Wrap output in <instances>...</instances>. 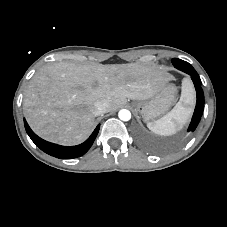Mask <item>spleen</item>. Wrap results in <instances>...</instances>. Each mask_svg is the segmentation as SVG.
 Returning <instances> with one entry per match:
<instances>
[{"label":"spleen","mask_w":227,"mask_h":227,"mask_svg":"<svg viewBox=\"0 0 227 227\" xmlns=\"http://www.w3.org/2000/svg\"><path fill=\"white\" fill-rule=\"evenodd\" d=\"M194 102V96L188 84H184L181 97L175 107L161 119L147 123V127L161 136L175 134L187 121L190 115L189 105Z\"/></svg>","instance_id":"1"}]
</instances>
